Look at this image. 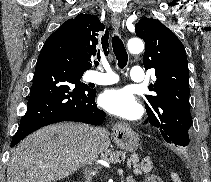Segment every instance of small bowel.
<instances>
[{"mask_svg": "<svg viewBox=\"0 0 211 182\" xmlns=\"http://www.w3.org/2000/svg\"><path fill=\"white\" fill-rule=\"evenodd\" d=\"M127 182H135V181H134V179H133L132 177H129V178L127 179Z\"/></svg>", "mask_w": 211, "mask_h": 182, "instance_id": "1", "label": "small bowel"}]
</instances>
